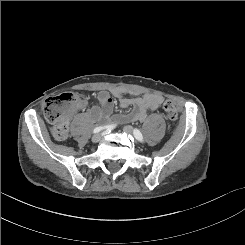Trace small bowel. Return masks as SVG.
<instances>
[{
  "label": "small bowel",
  "mask_w": 245,
  "mask_h": 245,
  "mask_svg": "<svg viewBox=\"0 0 245 245\" xmlns=\"http://www.w3.org/2000/svg\"><path fill=\"white\" fill-rule=\"evenodd\" d=\"M119 97L121 108L132 107L131 112L124 116L126 121H145L149 110H157L163 101L160 95L147 93L140 97H125L120 92L115 93ZM99 105L90 109L89 115L94 120H106L113 111V98L107 91H101L97 95ZM85 103L79 104L80 107Z\"/></svg>",
  "instance_id": "1"
}]
</instances>
